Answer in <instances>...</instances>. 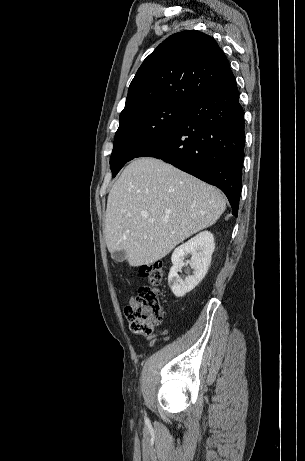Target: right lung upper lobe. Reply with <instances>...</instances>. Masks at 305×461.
<instances>
[{"instance_id": "right-lung-upper-lobe-1", "label": "right lung upper lobe", "mask_w": 305, "mask_h": 461, "mask_svg": "<svg viewBox=\"0 0 305 461\" xmlns=\"http://www.w3.org/2000/svg\"><path fill=\"white\" fill-rule=\"evenodd\" d=\"M232 77L224 52L211 36L195 30L176 33L144 60L119 118L159 103L189 104Z\"/></svg>"}]
</instances>
